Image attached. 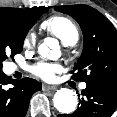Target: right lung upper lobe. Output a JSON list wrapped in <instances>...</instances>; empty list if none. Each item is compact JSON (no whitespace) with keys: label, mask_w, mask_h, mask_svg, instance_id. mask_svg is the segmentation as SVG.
Masks as SVG:
<instances>
[{"label":"right lung upper lobe","mask_w":117,"mask_h":117,"mask_svg":"<svg viewBox=\"0 0 117 117\" xmlns=\"http://www.w3.org/2000/svg\"><path fill=\"white\" fill-rule=\"evenodd\" d=\"M0 8H2V7H0ZM4 9H8V10H11V11H14V12H17V13L26 14V13L31 12L33 8H30V9L4 8Z\"/></svg>","instance_id":"obj_1"}]
</instances>
